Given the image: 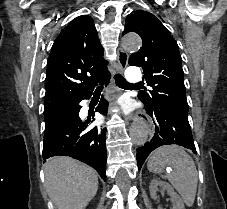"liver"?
I'll return each instance as SVG.
<instances>
[{
  "label": "liver",
  "mask_w": 227,
  "mask_h": 209,
  "mask_svg": "<svg viewBox=\"0 0 227 209\" xmlns=\"http://www.w3.org/2000/svg\"><path fill=\"white\" fill-rule=\"evenodd\" d=\"M45 167L46 193L57 209H85L98 191L94 169L71 157L49 159Z\"/></svg>",
  "instance_id": "obj_1"
}]
</instances>
